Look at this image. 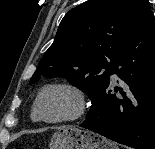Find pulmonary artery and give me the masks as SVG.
I'll return each instance as SVG.
<instances>
[{"instance_id": "pulmonary-artery-1", "label": "pulmonary artery", "mask_w": 155, "mask_h": 149, "mask_svg": "<svg viewBox=\"0 0 155 149\" xmlns=\"http://www.w3.org/2000/svg\"><path fill=\"white\" fill-rule=\"evenodd\" d=\"M112 79H113V80H116V79H117V75H116V74H113V75H112Z\"/></svg>"}]
</instances>
